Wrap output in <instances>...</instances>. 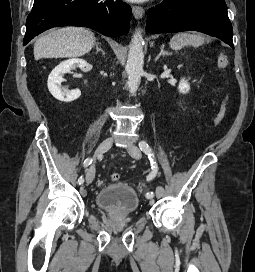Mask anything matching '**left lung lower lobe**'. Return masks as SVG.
<instances>
[{
    "instance_id": "obj_1",
    "label": "left lung lower lobe",
    "mask_w": 255,
    "mask_h": 272,
    "mask_svg": "<svg viewBox=\"0 0 255 272\" xmlns=\"http://www.w3.org/2000/svg\"><path fill=\"white\" fill-rule=\"evenodd\" d=\"M189 30L217 37L234 48L224 0H164L148 11L146 31L150 33Z\"/></svg>"
}]
</instances>
